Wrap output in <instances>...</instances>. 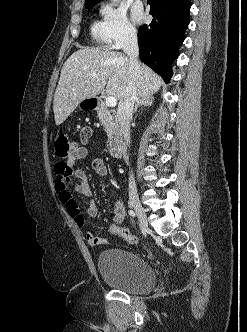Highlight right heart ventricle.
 I'll return each mask as SVG.
<instances>
[{
  "label": "right heart ventricle",
  "instance_id": "1",
  "mask_svg": "<svg viewBox=\"0 0 247 332\" xmlns=\"http://www.w3.org/2000/svg\"><path fill=\"white\" fill-rule=\"evenodd\" d=\"M90 32L93 40L101 47H109V41L107 39L104 23L100 20H94L90 27Z\"/></svg>",
  "mask_w": 247,
  "mask_h": 332
}]
</instances>
